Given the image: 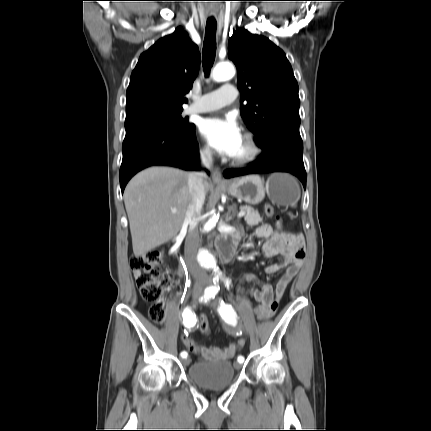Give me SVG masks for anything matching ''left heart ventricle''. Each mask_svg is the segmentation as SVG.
<instances>
[{"mask_svg": "<svg viewBox=\"0 0 431 431\" xmlns=\"http://www.w3.org/2000/svg\"><path fill=\"white\" fill-rule=\"evenodd\" d=\"M247 151H248L247 144H246L245 140L243 139L242 143H241L240 147L238 148V150L236 151L234 157L242 156V155L246 154Z\"/></svg>", "mask_w": 431, "mask_h": 431, "instance_id": "b2bd125f", "label": "left heart ventricle"}]
</instances>
